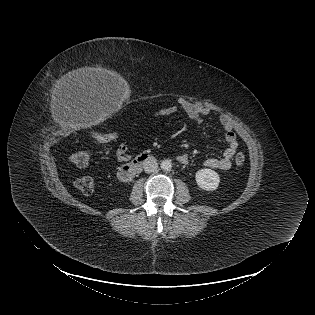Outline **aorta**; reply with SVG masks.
Segmentation results:
<instances>
[{"mask_svg": "<svg viewBox=\"0 0 315 315\" xmlns=\"http://www.w3.org/2000/svg\"><path fill=\"white\" fill-rule=\"evenodd\" d=\"M160 167L163 171H170L172 168L171 160H163L160 164Z\"/></svg>", "mask_w": 315, "mask_h": 315, "instance_id": "762f6f07", "label": "aorta"}]
</instances>
